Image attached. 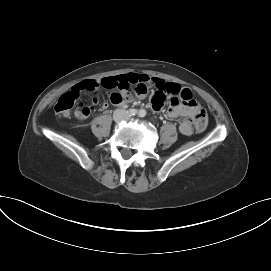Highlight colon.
I'll list each match as a JSON object with an SVG mask.
<instances>
[{"label":"colon","mask_w":271,"mask_h":271,"mask_svg":"<svg viewBox=\"0 0 271 271\" xmlns=\"http://www.w3.org/2000/svg\"><path fill=\"white\" fill-rule=\"evenodd\" d=\"M90 89L86 90H93L91 87ZM82 90L80 89H73L72 91L64 93L56 102L54 110L57 114L61 116H69L72 113L73 108L77 102L79 94ZM182 100L197 103L194 99L190 98L188 95L184 94L181 97ZM195 129L197 132H203L207 126V115L203 108H200L196 115L193 118Z\"/></svg>","instance_id":"1"}]
</instances>
